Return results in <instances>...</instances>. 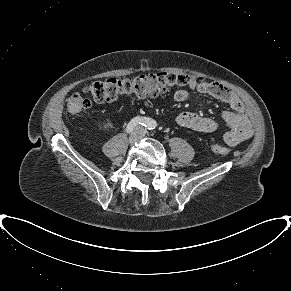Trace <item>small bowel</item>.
Segmentation results:
<instances>
[{"instance_id": "small-bowel-1", "label": "small bowel", "mask_w": 291, "mask_h": 291, "mask_svg": "<svg viewBox=\"0 0 291 291\" xmlns=\"http://www.w3.org/2000/svg\"><path fill=\"white\" fill-rule=\"evenodd\" d=\"M200 93L208 94L218 100L227 103L233 111H223L221 118L229 127L223 134V140L230 146L237 145L249 139L252 135L251 123L246 108L241 99L228 88L217 82H205L200 85H192ZM172 98L177 102L190 100V95L186 90H177ZM176 122L183 127L199 132H216L220 125L215 120L208 117H201L192 112H181L176 116Z\"/></svg>"}]
</instances>
